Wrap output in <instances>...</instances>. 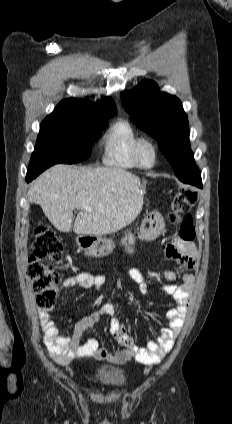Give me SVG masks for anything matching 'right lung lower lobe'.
<instances>
[{
    "label": "right lung lower lobe",
    "mask_w": 232,
    "mask_h": 424,
    "mask_svg": "<svg viewBox=\"0 0 232 424\" xmlns=\"http://www.w3.org/2000/svg\"><path fill=\"white\" fill-rule=\"evenodd\" d=\"M39 175V174H38ZM38 175H33V176H26V181L27 182H30V181H32L34 178H36Z\"/></svg>",
    "instance_id": "98d812e1"
}]
</instances>
